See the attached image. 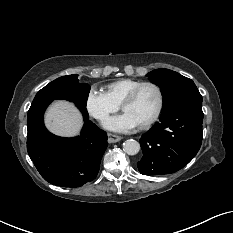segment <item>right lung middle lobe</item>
<instances>
[{
  "label": "right lung middle lobe",
  "instance_id": "right-lung-middle-lobe-1",
  "mask_svg": "<svg viewBox=\"0 0 233 233\" xmlns=\"http://www.w3.org/2000/svg\"><path fill=\"white\" fill-rule=\"evenodd\" d=\"M89 91L90 86L80 84L77 75L63 76L42 88L36 94L32 104L42 100L65 99L85 107Z\"/></svg>",
  "mask_w": 233,
  "mask_h": 233
}]
</instances>
